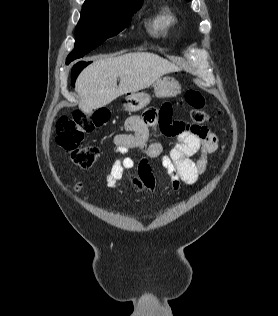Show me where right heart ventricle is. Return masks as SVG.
Returning a JSON list of instances; mask_svg holds the SVG:
<instances>
[{"mask_svg": "<svg viewBox=\"0 0 278 316\" xmlns=\"http://www.w3.org/2000/svg\"><path fill=\"white\" fill-rule=\"evenodd\" d=\"M177 17L169 7H161L148 20L147 26L153 35H166L177 25Z\"/></svg>", "mask_w": 278, "mask_h": 316, "instance_id": "obj_1", "label": "right heart ventricle"}]
</instances>
